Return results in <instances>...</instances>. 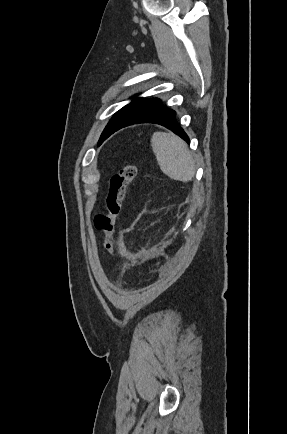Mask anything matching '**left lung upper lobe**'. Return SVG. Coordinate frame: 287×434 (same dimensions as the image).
Segmentation results:
<instances>
[{
  "instance_id": "left-lung-upper-lobe-1",
  "label": "left lung upper lobe",
  "mask_w": 287,
  "mask_h": 434,
  "mask_svg": "<svg viewBox=\"0 0 287 434\" xmlns=\"http://www.w3.org/2000/svg\"><path fill=\"white\" fill-rule=\"evenodd\" d=\"M160 101L157 98L146 99V98H135L132 102L125 107L117 111L107 126L105 127L101 137L99 139V144H101L106 138L113 134L128 118L143 110L144 108Z\"/></svg>"
}]
</instances>
